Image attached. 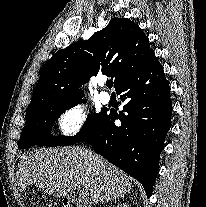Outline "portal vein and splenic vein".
<instances>
[{
  "label": "portal vein and splenic vein",
  "instance_id": "obj_1",
  "mask_svg": "<svg viewBox=\"0 0 206 207\" xmlns=\"http://www.w3.org/2000/svg\"><path fill=\"white\" fill-rule=\"evenodd\" d=\"M74 190H77V189H80V187L77 185V184H74L71 186ZM79 197H80V200L83 201V202H88L87 199L85 198V195L83 192H80L79 194Z\"/></svg>",
  "mask_w": 206,
  "mask_h": 207
}]
</instances>
